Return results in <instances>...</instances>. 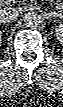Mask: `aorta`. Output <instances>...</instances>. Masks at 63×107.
Listing matches in <instances>:
<instances>
[{
	"label": "aorta",
	"mask_w": 63,
	"mask_h": 107,
	"mask_svg": "<svg viewBox=\"0 0 63 107\" xmlns=\"http://www.w3.org/2000/svg\"><path fill=\"white\" fill-rule=\"evenodd\" d=\"M23 21L27 27H36L40 23V17L35 12H28L24 15Z\"/></svg>",
	"instance_id": "1"
}]
</instances>
